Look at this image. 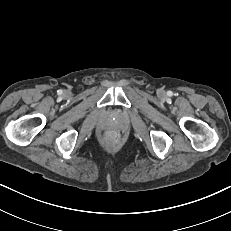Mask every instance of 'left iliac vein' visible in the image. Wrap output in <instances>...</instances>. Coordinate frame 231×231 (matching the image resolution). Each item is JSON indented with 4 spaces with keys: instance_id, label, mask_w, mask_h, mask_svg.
Here are the masks:
<instances>
[{
    "instance_id": "4c4485c4",
    "label": "left iliac vein",
    "mask_w": 231,
    "mask_h": 231,
    "mask_svg": "<svg viewBox=\"0 0 231 231\" xmlns=\"http://www.w3.org/2000/svg\"><path fill=\"white\" fill-rule=\"evenodd\" d=\"M160 95H164L162 91L160 92Z\"/></svg>"
}]
</instances>
